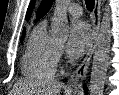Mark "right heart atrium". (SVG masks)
Listing matches in <instances>:
<instances>
[{"mask_svg": "<svg viewBox=\"0 0 119 95\" xmlns=\"http://www.w3.org/2000/svg\"><path fill=\"white\" fill-rule=\"evenodd\" d=\"M63 55V48L58 45V57H61Z\"/></svg>", "mask_w": 119, "mask_h": 95, "instance_id": "right-heart-atrium-1", "label": "right heart atrium"}]
</instances>
